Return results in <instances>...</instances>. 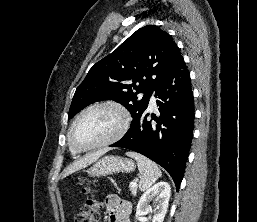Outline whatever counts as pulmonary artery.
<instances>
[{
  "instance_id": "pulmonary-artery-1",
  "label": "pulmonary artery",
  "mask_w": 257,
  "mask_h": 222,
  "mask_svg": "<svg viewBox=\"0 0 257 222\" xmlns=\"http://www.w3.org/2000/svg\"><path fill=\"white\" fill-rule=\"evenodd\" d=\"M151 106H155V98L152 96L150 100Z\"/></svg>"
}]
</instances>
